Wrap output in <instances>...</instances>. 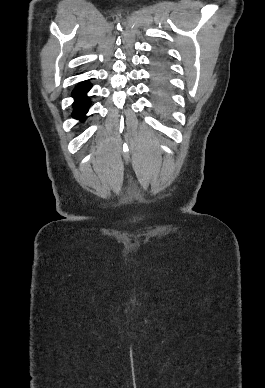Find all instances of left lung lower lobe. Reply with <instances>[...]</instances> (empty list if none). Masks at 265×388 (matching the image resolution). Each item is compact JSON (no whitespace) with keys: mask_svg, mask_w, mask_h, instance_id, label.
Segmentation results:
<instances>
[{"mask_svg":"<svg viewBox=\"0 0 265 388\" xmlns=\"http://www.w3.org/2000/svg\"><path fill=\"white\" fill-rule=\"evenodd\" d=\"M167 72L160 67L156 69L154 75L153 88L156 95V103L159 111H165L168 101V85L165 80Z\"/></svg>","mask_w":265,"mask_h":388,"instance_id":"0a47b994","label":"left lung lower lobe"}]
</instances>
